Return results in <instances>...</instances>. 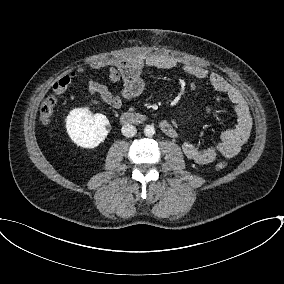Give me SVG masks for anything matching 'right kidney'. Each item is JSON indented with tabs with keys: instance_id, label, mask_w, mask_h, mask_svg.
I'll list each match as a JSON object with an SVG mask.
<instances>
[{
	"instance_id": "1",
	"label": "right kidney",
	"mask_w": 284,
	"mask_h": 284,
	"mask_svg": "<svg viewBox=\"0 0 284 284\" xmlns=\"http://www.w3.org/2000/svg\"><path fill=\"white\" fill-rule=\"evenodd\" d=\"M108 118L103 114H92L86 108L73 109L66 118V129L71 140L84 148L97 147L107 137Z\"/></svg>"
}]
</instances>
